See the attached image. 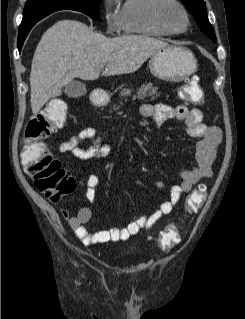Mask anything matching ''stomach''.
Wrapping results in <instances>:
<instances>
[{"instance_id": "1", "label": "stomach", "mask_w": 245, "mask_h": 319, "mask_svg": "<svg viewBox=\"0 0 245 319\" xmlns=\"http://www.w3.org/2000/svg\"><path fill=\"white\" fill-rule=\"evenodd\" d=\"M149 68L156 77L177 82L196 71L197 60L189 49L167 45L151 55ZM129 92L125 90L122 94Z\"/></svg>"}]
</instances>
